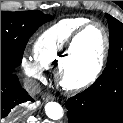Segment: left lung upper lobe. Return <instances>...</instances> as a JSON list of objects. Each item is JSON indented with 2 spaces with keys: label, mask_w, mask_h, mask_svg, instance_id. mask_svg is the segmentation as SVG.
I'll list each match as a JSON object with an SVG mask.
<instances>
[{
  "label": "left lung upper lobe",
  "mask_w": 123,
  "mask_h": 123,
  "mask_svg": "<svg viewBox=\"0 0 123 123\" xmlns=\"http://www.w3.org/2000/svg\"><path fill=\"white\" fill-rule=\"evenodd\" d=\"M109 23L110 48L108 61L99 80L108 83L123 75V24L106 14Z\"/></svg>",
  "instance_id": "5c2ea615"
}]
</instances>
